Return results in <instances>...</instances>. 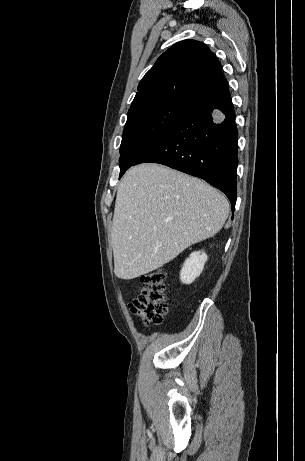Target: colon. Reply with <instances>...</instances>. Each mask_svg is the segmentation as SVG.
Here are the masks:
<instances>
[{"label":"colon","mask_w":305,"mask_h":461,"mask_svg":"<svg viewBox=\"0 0 305 461\" xmlns=\"http://www.w3.org/2000/svg\"><path fill=\"white\" fill-rule=\"evenodd\" d=\"M166 271L154 270L143 276L142 289L130 303V311L147 324H160L168 312Z\"/></svg>","instance_id":"obj_1"}]
</instances>
